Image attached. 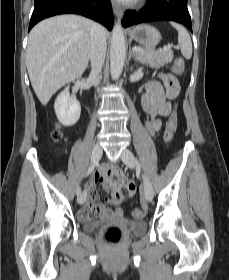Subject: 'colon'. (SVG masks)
Returning <instances> with one entry per match:
<instances>
[{
    "label": "colon",
    "mask_w": 229,
    "mask_h": 280,
    "mask_svg": "<svg viewBox=\"0 0 229 280\" xmlns=\"http://www.w3.org/2000/svg\"><path fill=\"white\" fill-rule=\"evenodd\" d=\"M177 63L178 66L181 67L184 64V59L178 58ZM162 81L165 88L168 91V94L172 99H174L178 95V90H179L178 81L175 78V76H173L172 74H164L162 76ZM177 129H178V118H177V114L174 112L170 115V117L166 121L165 130H164V140L166 142H172L175 138ZM61 137L62 135L59 130L53 131L52 138L54 140H59L61 139ZM122 180L123 177L118 174H112L108 177L109 182L118 183L121 182ZM133 215L137 218H141L144 216V212L141 209L136 208L133 211ZM120 237H121V232L116 227L109 228L105 234L106 241L110 243L117 242L120 239Z\"/></svg>",
    "instance_id": "5ec220e1"
}]
</instances>
